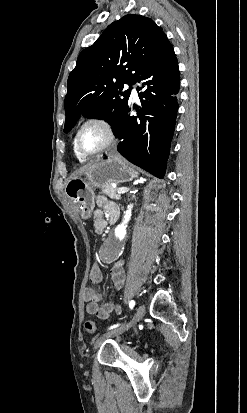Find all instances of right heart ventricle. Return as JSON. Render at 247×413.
Here are the masks:
<instances>
[{
	"label": "right heart ventricle",
	"instance_id": "obj_1",
	"mask_svg": "<svg viewBox=\"0 0 247 413\" xmlns=\"http://www.w3.org/2000/svg\"><path fill=\"white\" fill-rule=\"evenodd\" d=\"M73 148H74V152H75V155H76L77 159H78L80 162L86 161V158H84L83 156H81V155L77 152L74 142H73Z\"/></svg>",
	"mask_w": 247,
	"mask_h": 413
}]
</instances>
